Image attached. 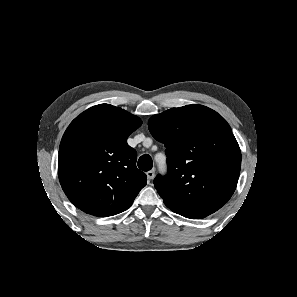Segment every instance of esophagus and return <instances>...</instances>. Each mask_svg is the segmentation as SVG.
I'll list each match as a JSON object with an SVG mask.
<instances>
[{"mask_svg": "<svg viewBox=\"0 0 297 297\" xmlns=\"http://www.w3.org/2000/svg\"><path fill=\"white\" fill-rule=\"evenodd\" d=\"M148 180H152L155 176L154 170H150L146 173Z\"/></svg>", "mask_w": 297, "mask_h": 297, "instance_id": "1", "label": "esophagus"}]
</instances>
